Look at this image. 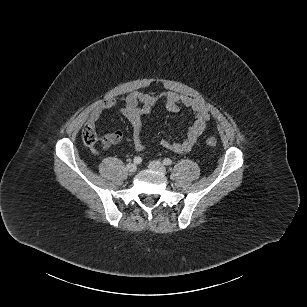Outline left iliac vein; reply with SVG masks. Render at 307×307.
<instances>
[{
	"label": "left iliac vein",
	"mask_w": 307,
	"mask_h": 307,
	"mask_svg": "<svg viewBox=\"0 0 307 307\" xmlns=\"http://www.w3.org/2000/svg\"><path fill=\"white\" fill-rule=\"evenodd\" d=\"M148 167L150 169L157 170L163 174L166 173V167L160 161H157V160L151 161Z\"/></svg>",
	"instance_id": "obj_1"
}]
</instances>
